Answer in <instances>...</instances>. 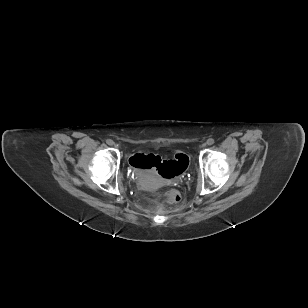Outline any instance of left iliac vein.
<instances>
[{
    "label": "left iliac vein",
    "mask_w": 308,
    "mask_h": 308,
    "mask_svg": "<svg viewBox=\"0 0 308 308\" xmlns=\"http://www.w3.org/2000/svg\"><path fill=\"white\" fill-rule=\"evenodd\" d=\"M205 146H206V144L204 143V144H203V147H205Z\"/></svg>",
    "instance_id": "1"
}]
</instances>
